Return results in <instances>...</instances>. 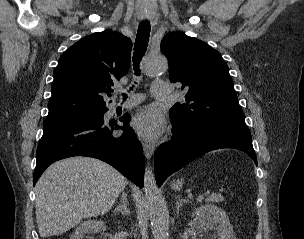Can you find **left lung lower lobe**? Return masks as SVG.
<instances>
[{
    "mask_svg": "<svg viewBox=\"0 0 304 239\" xmlns=\"http://www.w3.org/2000/svg\"><path fill=\"white\" fill-rule=\"evenodd\" d=\"M172 125L171 141L162 144L155 155V177L158 186L190 161L216 149L241 150L248 154L257 165L251 133L246 125L216 124L197 132L188 131L174 120H172Z\"/></svg>",
    "mask_w": 304,
    "mask_h": 239,
    "instance_id": "1",
    "label": "left lung lower lobe"
}]
</instances>
